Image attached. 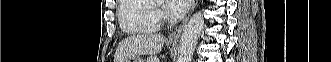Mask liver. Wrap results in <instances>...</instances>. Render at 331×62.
<instances>
[{
	"mask_svg": "<svg viewBox=\"0 0 331 62\" xmlns=\"http://www.w3.org/2000/svg\"><path fill=\"white\" fill-rule=\"evenodd\" d=\"M164 41L165 38L161 34L145 33L129 36L119 43L114 62H126L135 55L158 54L163 48Z\"/></svg>",
	"mask_w": 331,
	"mask_h": 62,
	"instance_id": "6515ba94",
	"label": "liver"
}]
</instances>
